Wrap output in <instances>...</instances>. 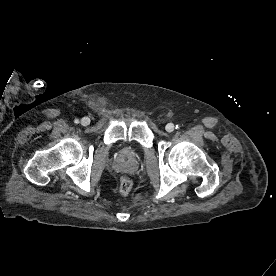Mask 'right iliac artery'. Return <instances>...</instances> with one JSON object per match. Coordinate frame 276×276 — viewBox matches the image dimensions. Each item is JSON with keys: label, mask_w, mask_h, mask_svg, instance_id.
Returning a JSON list of instances; mask_svg holds the SVG:
<instances>
[{"label": "right iliac artery", "mask_w": 276, "mask_h": 276, "mask_svg": "<svg viewBox=\"0 0 276 276\" xmlns=\"http://www.w3.org/2000/svg\"><path fill=\"white\" fill-rule=\"evenodd\" d=\"M74 123L78 124V123H79V120H78V119H75V120H74Z\"/></svg>", "instance_id": "obj_1"}]
</instances>
